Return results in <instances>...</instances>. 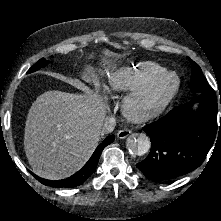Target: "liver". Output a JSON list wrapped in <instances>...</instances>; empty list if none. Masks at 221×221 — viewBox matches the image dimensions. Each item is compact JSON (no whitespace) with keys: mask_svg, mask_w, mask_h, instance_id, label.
<instances>
[{"mask_svg":"<svg viewBox=\"0 0 221 221\" xmlns=\"http://www.w3.org/2000/svg\"><path fill=\"white\" fill-rule=\"evenodd\" d=\"M105 104L95 93L41 94L26 119L24 150L39 177L59 180L77 172L98 145Z\"/></svg>","mask_w":221,"mask_h":221,"instance_id":"liver-1","label":"liver"}]
</instances>
